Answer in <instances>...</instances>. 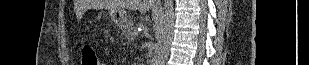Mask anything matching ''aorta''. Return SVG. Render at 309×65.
<instances>
[{
	"label": "aorta",
	"mask_w": 309,
	"mask_h": 65,
	"mask_svg": "<svg viewBox=\"0 0 309 65\" xmlns=\"http://www.w3.org/2000/svg\"><path fill=\"white\" fill-rule=\"evenodd\" d=\"M174 18L173 0H165L156 24L157 44L151 65H164L167 60L173 39Z\"/></svg>",
	"instance_id": "1"
}]
</instances>
